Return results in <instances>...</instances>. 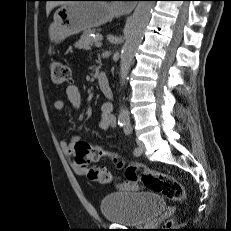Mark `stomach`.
Masks as SVG:
<instances>
[{"mask_svg": "<svg viewBox=\"0 0 231 231\" xmlns=\"http://www.w3.org/2000/svg\"><path fill=\"white\" fill-rule=\"evenodd\" d=\"M120 14L121 10L115 3L67 2L54 13L49 37L51 41L59 43L71 35L105 24Z\"/></svg>", "mask_w": 231, "mask_h": 231, "instance_id": "0dacf381", "label": "stomach"}]
</instances>
